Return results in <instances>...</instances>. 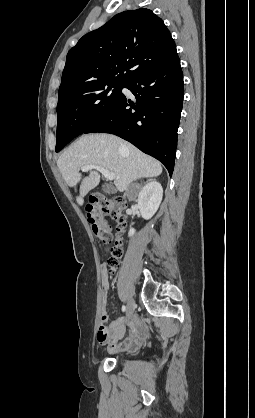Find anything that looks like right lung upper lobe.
<instances>
[{"instance_id":"obj_1","label":"right lung upper lobe","mask_w":255,"mask_h":418,"mask_svg":"<svg viewBox=\"0 0 255 418\" xmlns=\"http://www.w3.org/2000/svg\"><path fill=\"white\" fill-rule=\"evenodd\" d=\"M177 57L176 45L162 19L145 8L125 11L84 35L70 49L59 94L101 82L127 84Z\"/></svg>"}]
</instances>
